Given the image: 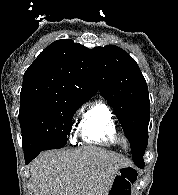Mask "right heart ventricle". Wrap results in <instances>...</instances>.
Masks as SVG:
<instances>
[{
  "mask_svg": "<svg viewBox=\"0 0 178 195\" xmlns=\"http://www.w3.org/2000/svg\"><path fill=\"white\" fill-rule=\"evenodd\" d=\"M79 135L87 143L117 148L121 137L115 116L110 107L96 101L89 105L80 120Z\"/></svg>",
  "mask_w": 178,
  "mask_h": 195,
  "instance_id": "e07e8e85",
  "label": "right heart ventricle"
}]
</instances>
